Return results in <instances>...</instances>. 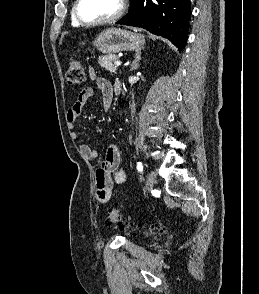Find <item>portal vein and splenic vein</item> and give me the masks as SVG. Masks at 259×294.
I'll return each mask as SVG.
<instances>
[{"label":"portal vein and splenic vein","mask_w":259,"mask_h":294,"mask_svg":"<svg viewBox=\"0 0 259 294\" xmlns=\"http://www.w3.org/2000/svg\"><path fill=\"white\" fill-rule=\"evenodd\" d=\"M114 64H115V66H121L122 62L121 61H115Z\"/></svg>","instance_id":"portal-vein-and-splenic-vein-1"}]
</instances>
